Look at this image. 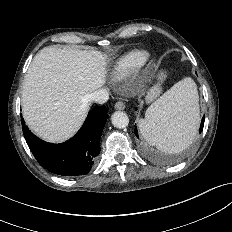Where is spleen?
<instances>
[{
  "label": "spleen",
  "instance_id": "1",
  "mask_svg": "<svg viewBox=\"0 0 232 232\" xmlns=\"http://www.w3.org/2000/svg\"><path fill=\"white\" fill-rule=\"evenodd\" d=\"M198 92L186 77L152 104L139 120L142 137L166 153H179L193 141L199 125Z\"/></svg>",
  "mask_w": 232,
  "mask_h": 232
}]
</instances>
